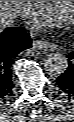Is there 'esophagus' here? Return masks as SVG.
<instances>
[{
  "label": "esophagus",
  "mask_w": 74,
  "mask_h": 122,
  "mask_svg": "<svg viewBox=\"0 0 74 122\" xmlns=\"http://www.w3.org/2000/svg\"><path fill=\"white\" fill-rule=\"evenodd\" d=\"M51 47H52V45L47 41H34L33 42V49L35 51H37V50L47 51V50H50Z\"/></svg>",
  "instance_id": "obj_1"
}]
</instances>
